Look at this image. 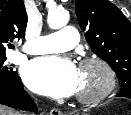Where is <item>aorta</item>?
Here are the masks:
<instances>
[{
	"label": "aorta",
	"mask_w": 131,
	"mask_h": 115,
	"mask_svg": "<svg viewBox=\"0 0 131 115\" xmlns=\"http://www.w3.org/2000/svg\"><path fill=\"white\" fill-rule=\"evenodd\" d=\"M69 21V13L66 10H55L48 13L47 22L50 28L59 29Z\"/></svg>",
	"instance_id": "1"
}]
</instances>
